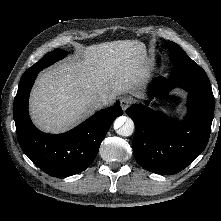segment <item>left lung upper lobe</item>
Returning <instances> with one entry per match:
<instances>
[{
    "label": "left lung upper lobe",
    "instance_id": "left-lung-upper-lobe-1",
    "mask_svg": "<svg viewBox=\"0 0 221 221\" xmlns=\"http://www.w3.org/2000/svg\"><path fill=\"white\" fill-rule=\"evenodd\" d=\"M170 52V59L176 67L187 66V65H197L192 59H190L185 51L180 48L174 42H167L165 44Z\"/></svg>",
    "mask_w": 221,
    "mask_h": 221
}]
</instances>
